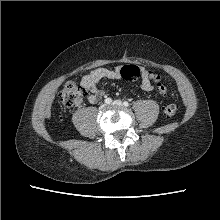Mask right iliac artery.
Returning a JSON list of instances; mask_svg holds the SVG:
<instances>
[{
	"instance_id": "1",
	"label": "right iliac artery",
	"mask_w": 220,
	"mask_h": 220,
	"mask_svg": "<svg viewBox=\"0 0 220 220\" xmlns=\"http://www.w3.org/2000/svg\"><path fill=\"white\" fill-rule=\"evenodd\" d=\"M105 103L106 104H111L112 103V99L111 98H106L105 99Z\"/></svg>"
}]
</instances>
